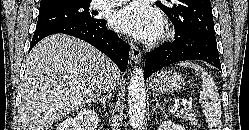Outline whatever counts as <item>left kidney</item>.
I'll list each match as a JSON object with an SVG mask.
<instances>
[{
    "label": "left kidney",
    "instance_id": "1",
    "mask_svg": "<svg viewBox=\"0 0 249 130\" xmlns=\"http://www.w3.org/2000/svg\"><path fill=\"white\" fill-rule=\"evenodd\" d=\"M158 130H183V128L179 126L178 124H175L171 120H166L162 122Z\"/></svg>",
    "mask_w": 249,
    "mask_h": 130
}]
</instances>
